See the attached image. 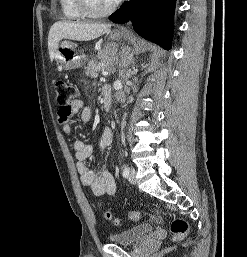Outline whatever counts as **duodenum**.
I'll list each match as a JSON object with an SVG mask.
<instances>
[{"mask_svg":"<svg viewBox=\"0 0 247 257\" xmlns=\"http://www.w3.org/2000/svg\"><path fill=\"white\" fill-rule=\"evenodd\" d=\"M102 96H103V108L105 112H109L112 107V90L109 85H105L102 89Z\"/></svg>","mask_w":247,"mask_h":257,"instance_id":"duodenum-1","label":"duodenum"}]
</instances>
